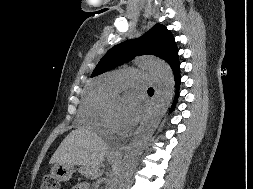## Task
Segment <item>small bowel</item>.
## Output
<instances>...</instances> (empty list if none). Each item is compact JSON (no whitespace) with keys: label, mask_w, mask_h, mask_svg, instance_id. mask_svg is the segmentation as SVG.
Returning <instances> with one entry per match:
<instances>
[{"label":"small bowel","mask_w":253,"mask_h":189,"mask_svg":"<svg viewBox=\"0 0 253 189\" xmlns=\"http://www.w3.org/2000/svg\"><path fill=\"white\" fill-rule=\"evenodd\" d=\"M73 189H88V188H87L86 184L81 183V184L74 186Z\"/></svg>","instance_id":"small-bowel-1"}]
</instances>
